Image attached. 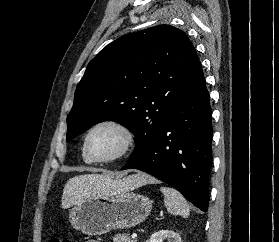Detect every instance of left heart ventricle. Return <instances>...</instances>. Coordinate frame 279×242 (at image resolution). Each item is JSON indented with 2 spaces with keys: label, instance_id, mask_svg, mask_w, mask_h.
Masks as SVG:
<instances>
[{
  "label": "left heart ventricle",
  "instance_id": "b2bd125f",
  "mask_svg": "<svg viewBox=\"0 0 279 242\" xmlns=\"http://www.w3.org/2000/svg\"><path fill=\"white\" fill-rule=\"evenodd\" d=\"M122 145L121 133L112 127H102L90 137L88 149L95 158H105L116 153Z\"/></svg>",
  "mask_w": 279,
  "mask_h": 242
}]
</instances>
